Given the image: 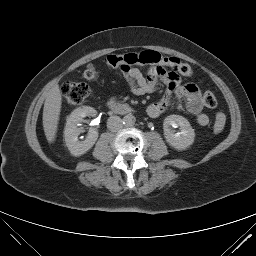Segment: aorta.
Returning a JSON list of instances; mask_svg holds the SVG:
<instances>
[{
	"label": "aorta",
	"mask_w": 256,
	"mask_h": 256,
	"mask_svg": "<svg viewBox=\"0 0 256 256\" xmlns=\"http://www.w3.org/2000/svg\"><path fill=\"white\" fill-rule=\"evenodd\" d=\"M136 118L132 114H127L123 117V124L126 126H133L135 124Z\"/></svg>",
	"instance_id": "obj_1"
}]
</instances>
